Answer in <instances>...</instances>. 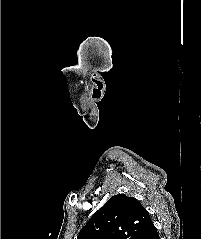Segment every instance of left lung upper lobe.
Wrapping results in <instances>:
<instances>
[{
  "mask_svg": "<svg viewBox=\"0 0 201 239\" xmlns=\"http://www.w3.org/2000/svg\"><path fill=\"white\" fill-rule=\"evenodd\" d=\"M151 222L138 200L118 194L93 214L77 239H139Z\"/></svg>",
  "mask_w": 201,
  "mask_h": 239,
  "instance_id": "left-lung-upper-lobe-1",
  "label": "left lung upper lobe"
}]
</instances>
